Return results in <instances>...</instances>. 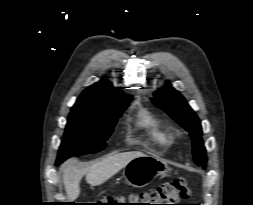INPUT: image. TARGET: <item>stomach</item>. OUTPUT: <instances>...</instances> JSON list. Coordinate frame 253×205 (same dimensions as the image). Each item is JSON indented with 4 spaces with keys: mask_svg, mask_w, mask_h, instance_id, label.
<instances>
[{
    "mask_svg": "<svg viewBox=\"0 0 253 205\" xmlns=\"http://www.w3.org/2000/svg\"><path fill=\"white\" fill-rule=\"evenodd\" d=\"M170 171V167L160 158L143 155L131 160L123 171L125 182L134 187H144L150 181Z\"/></svg>",
    "mask_w": 253,
    "mask_h": 205,
    "instance_id": "stomach-1",
    "label": "stomach"
}]
</instances>
